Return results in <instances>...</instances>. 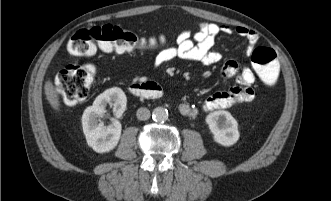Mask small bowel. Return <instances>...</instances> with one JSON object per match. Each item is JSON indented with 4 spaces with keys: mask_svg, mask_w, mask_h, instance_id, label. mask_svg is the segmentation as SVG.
Returning <instances> with one entry per match:
<instances>
[{
    "mask_svg": "<svg viewBox=\"0 0 331 201\" xmlns=\"http://www.w3.org/2000/svg\"><path fill=\"white\" fill-rule=\"evenodd\" d=\"M233 32L248 41V52H251L259 41V35L254 30L245 27H237L233 30L229 26L202 22L199 23L194 34L189 30H184L177 36L174 46L158 51L153 64L155 67H160L174 59L197 61L203 65L216 64L222 58L221 54L213 49L217 36L221 33L232 34ZM221 75L224 78L234 77L236 84L227 90L209 96L202 105V110L205 112L229 108L238 103L249 102L254 98L252 85L256 77L250 66L239 69L235 60H228L221 68ZM178 111L186 117H193L198 113L197 107L190 103H180Z\"/></svg>",
    "mask_w": 331,
    "mask_h": 201,
    "instance_id": "small-bowel-1",
    "label": "small bowel"
}]
</instances>
